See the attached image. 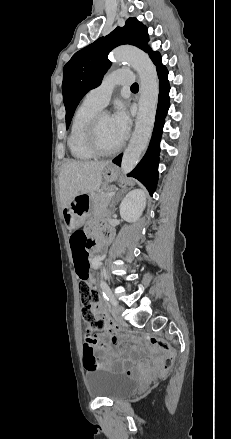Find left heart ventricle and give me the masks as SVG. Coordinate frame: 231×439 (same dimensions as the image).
Listing matches in <instances>:
<instances>
[{
  "label": "left heart ventricle",
  "instance_id": "left-heart-ventricle-1",
  "mask_svg": "<svg viewBox=\"0 0 231 439\" xmlns=\"http://www.w3.org/2000/svg\"><path fill=\"white\" fill-rule=\"evenodd\" d=\"M98 141L103 149H113L119 145L111 124V117L105 114L101 117L98 126Z\"/></svg>",
  "mask_w": 231,
  "mask_h": 439
}]
</instances>
